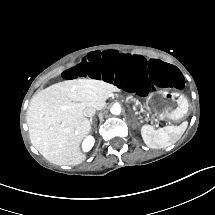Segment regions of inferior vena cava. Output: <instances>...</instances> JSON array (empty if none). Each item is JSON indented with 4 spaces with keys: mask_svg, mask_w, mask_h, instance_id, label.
Segmentation results:
<instances>
[{
    "mask_svg": "<svg viewBox=\"0 0 215 215\" xmlns=\"http://www.w3.org/2000/svg\"><path fill=\"white\" fill-rule=\"evenodd\" d=\"M95 112H96V109L93 107H86L85 109H83V115L85 117H92L94 116Z\"/></svg>",
    "mask_w": 215,
    "mask_h": 215,
    "instance_id": "1",
    "label": "inferior vena cava"
}]
</instances>
